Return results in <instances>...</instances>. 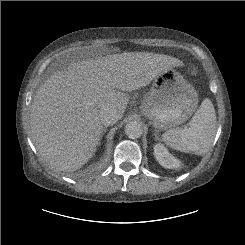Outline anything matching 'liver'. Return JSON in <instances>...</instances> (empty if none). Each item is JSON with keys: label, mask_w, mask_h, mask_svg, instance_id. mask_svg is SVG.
Returning <instances> with one entry per match:
<instances>
[{"label": "liver", "mask_w": 245, "mask_h": 245, "mask_svg": "<svg viewBox=\"0 0 245 245\" xmlns=\"http://www.w3.org/2000/svg\"><path fill=\"white\" fill-rule=\"evenodd\" d=\"M177 58L148 52H124L71 63L53 73L37 90L30 113L32 141L46 164L75 171L93 157L103 134L101 108L119 118L131 92L162 71L182 66Z\"/></svg>", "instance_id": "obj_1"}]
</instances>
